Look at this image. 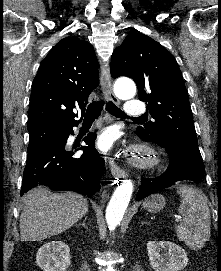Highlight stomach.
<instances>
[{"instance_id": "1", "label": "stomach", "mask_w": 221, "mask_h": 271, "mask_svg": "<svg viewBox=\"0 0 221 271\" xmlns=\"http://www.w3.org/2000/svg\"><path fill=\"white\" fill-rule=\"evenodd\" d=\"M166 199L164 195H160V193H154V195H150L147 197L146 201H144L143 205L145 209H148L150 213H157L160 209L165 207Z\"/></svg>"}]
</instances>
